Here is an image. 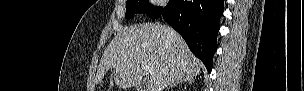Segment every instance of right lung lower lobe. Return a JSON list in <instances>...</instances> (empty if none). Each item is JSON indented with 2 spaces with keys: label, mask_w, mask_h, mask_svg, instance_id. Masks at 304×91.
I'll return each instance as SVG.
<instances>
[{
  "label": "right lung lower lobe",
  "mask_w": 304,
  "mask_h": 91,
  "mask_svg": "<svg viewBox=\"0 0 304 91\" xmlns=\"http://www.w3.org/2000/svg\"><path fill=\"white\" fill-rule=\"evenodd\" d=\"M223 0H170L162 16L185 40L193 54L212 70L213 54L217 49L219 19Z\"/></svg>",
  "instance_id": "obj_1"
}]
</instances>
